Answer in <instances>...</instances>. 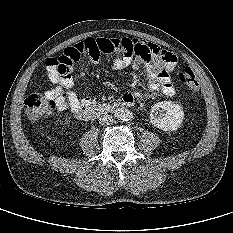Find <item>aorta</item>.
<instances>
[{"label":"aorta","instance_id":"obj_1","mask_svg":"<svg viewBox=\"0 0 233 233\" xmlns=\"http://www.w3.org/2000/svg\"><path fill=\"white\" fill-rule=\"evenodd\" d=\"M115 117L122 121H130L133 118V114L126 108H119L115 111Z\"/></svg>","mask_w":233,"mask_h":233}]
</instances>
